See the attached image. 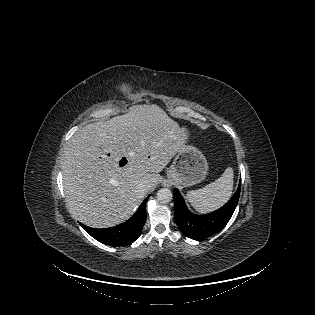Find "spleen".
<instances>
[{"label":"spleen","instance_id":"3e777b00","mask_svg":"<svg viewBox=\"0 0 315 315\" xmlns=\"http://www.w3.org/2000/svg\"><path fill=\"white\" fill-rule=\"evenodd\" d=\"M233 190V169L228 167L220 178L207 186L187 193V199L200 213H208L223 206Z\"/></svg>","mask_w":315,"mask_h":315}]
</instances>
